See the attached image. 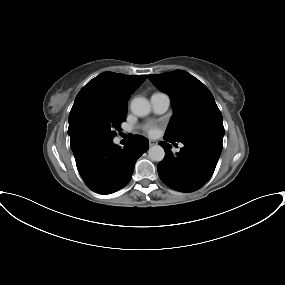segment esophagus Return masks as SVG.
Listing matches in <instances>:
<instances>
[{
    "label": "esophagus",
    "mask_w": 285,
    "mask_h": 285,
    "mask_svg": "<svg viewBox=\"0 0 285 285\" xmlns=\"http://www.w3.org/2000/svg\"><path fill=\"white\" fill-rule=\"evenodd\" d=\"M156 144H157V142L155 140H149V145L150 146H154Z\"/></svg>",
    "instance_id": "esophagus-1"
}]
</instances>
